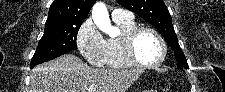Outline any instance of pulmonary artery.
<instances>
[{"label": "pulmonary artery", "instance_id": "1", "mask_svg": "<svg viewBox=\"0 0 225 92\" xmlns=\"http://www.w3.org/2000/svg\"><path fill=\"white\" fill-rule=\"evenodd\" d=\"M113 20H131L133 19L132 12L121 9V8H115L112 12Z\"/></svg>", "mask_w": 225, "mask_h": 92}]
</instances>
